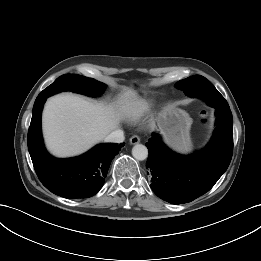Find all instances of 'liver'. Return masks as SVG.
Listing matches in <instances>:
<instances>
[{"mask_svg":"<svg viewBox=\"0 0 261 261\" xmlns=\"http://www.w3.org/2000/svg\"><path fill=\"white\" fill-rule=\"evenodd\" d=\"M140 103L134 90H126L119 104L94 103L78 95L61 94L48 99L42 116L49 151L58 157L81 154L119 127Z\"/></svg>","mask_w":261,"mask_h":261,"instance_id":"6515ba94","label":"liver"}]
</instances>
